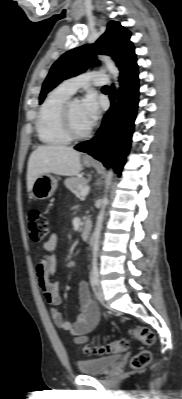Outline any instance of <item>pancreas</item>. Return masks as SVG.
Returning a JSON list of instances; mask_svg holds the SVG:
<instances>
[{
    "mask_svg": "<svg viewBox=\"0 0 182 399\" xmlns=\"http://www.w3.org/2000/svg\"><path fill=\"white\" fill-rule=\"evenodd\" d=\"M87 180L84 177H72L65 180V186L73 193L80 194L81 189L86 185Z\"/></svg>",
    "mask_w": 182,
    "mask_h": 399,
    "instance_id": "pancreas-1",
    "label": "pancreas"
}]
</instances>
